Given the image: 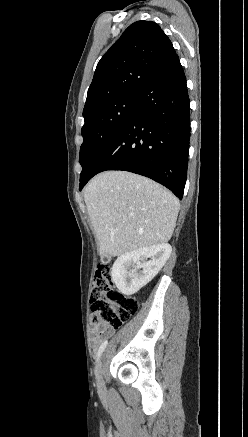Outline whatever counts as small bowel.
Wrapping results in <instances>:
<instances>
[{
  "label": "small bowel",
  "mask_w": 248,
  "mask_h": 437,
  "mask_svg": "<svg viewBox=\"0 0 248 437\" xmlns=\"http://www.w3.org/2000/svg\"><path fill=\"white\" fill-rule=\"evenodd\" d=\"M113 333V329L108 326H98L91 329V343L96 348L106 336Z\"/></svg>",
  "instance_id": "c3829d8e"
}]
</instances>
